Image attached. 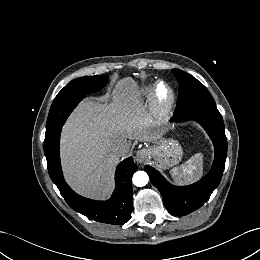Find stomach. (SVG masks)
I'll list each match as a JSON object with an SVG mask.
<instances>
[{
    "mask_svg": "<svg viewBox=\"0 0 260 260\" xmlns=\"http://www.w3.org/2000/svg\"><path fill=\"white\" fill-rule=\"evenodd\" d=\"M151 151L156 165L161 169L177 165L183 156L180 144L173 139L158 140Z\"/></svg>",
    "mask_w": 260,
    "mask_h": 260,
    "instance_id": "stomach-1",
    "label": "stomach"
}]
</instances>
